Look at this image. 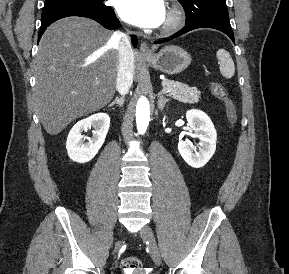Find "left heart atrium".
Wrapping results in <instances>:
<instances>
[{"mask_svg": "<svg viewBox=\"0 0 289 274\" xmlns=\"http://www.w3.org/2000/svg\"><path fill=\"white\" fill-rule=\"evenodd\" d=\"M117 12L124 21L145 28L160 26L166 16L163 0H117Z\"/></svg>", "mask_w": 289, "mask_h": 274, "instance_id": "39dd6f15", "label": "left heart atrium"}]
</instances>
